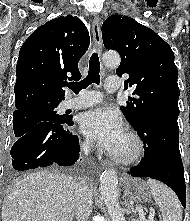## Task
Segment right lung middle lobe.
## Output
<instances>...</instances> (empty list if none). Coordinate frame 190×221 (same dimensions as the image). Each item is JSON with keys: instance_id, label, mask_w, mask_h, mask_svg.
<instances>
[{"instance_id": "obj_1", "label": "right lung middle lobe", "mask_w": 190, "mask_h": 221, "mask_svg": "<svg viewBox=\"0 0 190 221\" xmlns=\"http://www.w3.org/2000/svg\"><path fill=\"white\" fill-rule=\"evenodd\" d=\"M59 103L37 105L13 114V128L16 138H20L34 125L43 121H64L67 117L59 116L55 108Z\"/></svg>"}]
</instances>
